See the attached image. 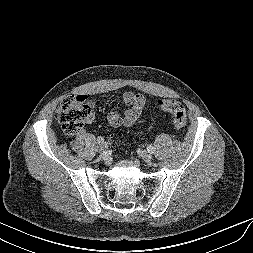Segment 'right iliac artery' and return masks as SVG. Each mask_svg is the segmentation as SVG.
Masks as SVG:
<instances>
[{
	"label": "right iliac artery",
	"mask_w": 253,
	"mask_h": 253,
	"mask_svg": "<svg viewBox=\"0 0 253 253\" xmlns=\"http://www.w3.org/2000/svg\"><path fill=\"white\" fill-rule=\"evenodd\" d=\"M104 141H105V140H104L103 137H98V138H97V142H98L99 144H100V143H101V144L104 143Z\"/></svg>",
	"instance_id": "1"
}]
</instances>
